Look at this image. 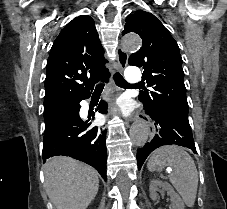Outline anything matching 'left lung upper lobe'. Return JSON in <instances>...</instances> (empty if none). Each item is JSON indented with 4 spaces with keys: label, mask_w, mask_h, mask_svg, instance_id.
<instances>
[{
    "label": "left lung upper lobe",
    "mask_w": 227,
    "mask_h": 209,
    "mask_svg": "<svg viewBox=\"0 0 227 209\" xmlns=\"http://www.w3.org/2000/svg\"><path fill=\"white\" fill-rule=\"evenodd\" d=\"M135 32L142 47L129 57V65L143 68V80L151 91L142 92L144 108H167L188 116L184 72L179 47L163 24L151 13L138 10L126 18L122 35Z\"/></svg>",
    "instance_id": "1"
}]
</instances>
